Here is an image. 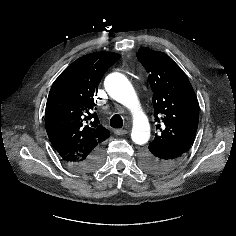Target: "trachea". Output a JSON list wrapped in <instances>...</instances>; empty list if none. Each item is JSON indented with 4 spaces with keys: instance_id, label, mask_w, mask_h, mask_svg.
<instances>
[{
    "instance_id": "trachea-1",
    "label": "trachea",
    "mask_w": 236,
    "mask_h": 236,
    "mask_svg": "<svg viewBox=\"0 0 236 236\" xmlns=\"http://www.w3.org/2000/svg\"><path fill=\"white\" fill-rule=\"evenodd\" d=\"M110 126L112 128H117V129L122 128L123 119L121 118V116L118 114L114 115L110 120Z\"/></svg>"
}]
</instances>
